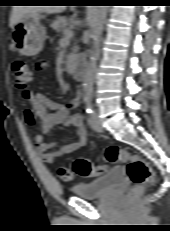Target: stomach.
I'll use <instances>...</instances> for the list:
<instances>
[{"mask_svg": "<svg viewBox=\"0 0 170 231\" xmlns=\"http://www.w3.org/2000/svg\"><path fill=\"white\" fill-rule=\"evenodd\" d=\"M40 19L39 13L26 14L14 25L13 43L20 54L34 56L43 49L46 31Z\"/></svg>", "mask_w": 170, "mask_h": 231, "instance_id": "stomach-1", "label": "stomach"}]
</instances>
